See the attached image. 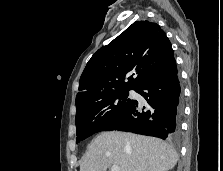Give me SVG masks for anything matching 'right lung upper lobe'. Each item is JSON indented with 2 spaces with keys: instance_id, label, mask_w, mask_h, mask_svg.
<instances>
[{
  "instance_id": "obj_1",
  "label": "right lung upper lobe",
  "mask_w": 223,
  "mask_h": 171,
  "mask_svg": "<svg viewBox=\"0 0 223 171\" xmlns=\"http://www.w3.org/2000/svg\"><path fill=\"white\" fill-rule=\"evenodd\" d=\"M169 39L158 24L136 21L88 61L79 83L76 109L101 97L137 90L173 60ZM133 72L124 82L126 74Z\"/></svg>"
}]
</instances>
